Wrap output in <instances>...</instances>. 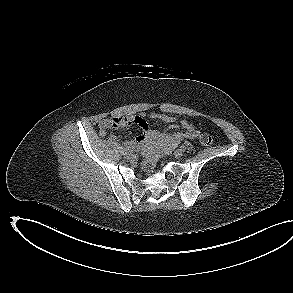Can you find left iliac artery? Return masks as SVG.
I'll return each instance as SVG.
<instances>
[{
    "instance_id": "1",
    "label": "left iliac artery",
    "mask_w": 293,
    "mask_h": 293,
    "mask_svg": "<svg viewBox=\"0 0 293 293\" xmlns=\"http://www.w3.org/2000/svg\"><path fill=\"white\" fill-rule=\"evenodd\" d=\"M180 148L183 152L186 150V147L184 145H182Z\"/></svg>"
}]
</instances>
